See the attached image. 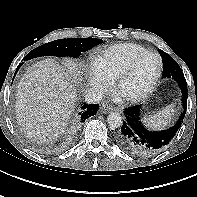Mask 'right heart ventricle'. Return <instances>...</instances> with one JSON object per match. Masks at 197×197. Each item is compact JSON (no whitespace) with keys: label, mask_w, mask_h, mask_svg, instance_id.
I'll return each instance as SVG.
<instances>
[{"label":"right heart ventricle","mask_w":197,"mask_h":197,"mask_svg":"<svg viewBox=\"0 0 197 197\" xmlns=\"http://www.w3.org/2000/svg\"><path fill=\"white\" fill-rule=\"evenodd\" d=\"M147 51L145 47L134 43L117 44L95 53L92 65L110 81L115 80L134 57Z\"/></svg>","instance_id":"right-heart-ventricle-1"}]
</instances>
